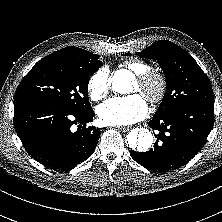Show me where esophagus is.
Returning a JSON list of instances; mask_svg holds the SVG:
<instances>
[{
    "mask_svg": "<svg viewBox=\"0 0 222 222\" xmlns=\"http://www.w3.org/2000/svg\"><path fill=\"white\" fill-rule=\"evenodd\" d=\"M129 129H130L129 127H125V126L119 127V130H121L123 132H127Z\"/></svg>",
    "mask_w": 222,
    "mask_h": 222,
    "instance_id": "obj_1",
    "label": "esophagus"
}]
</instances>
